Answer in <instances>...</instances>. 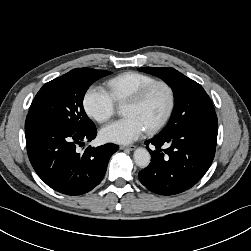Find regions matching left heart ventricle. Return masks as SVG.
<instances>
[{"label":"left heart ventricle","instance_id":"b2bd125f","mask_svg":"<svg viewBox=\"0 0 251 251\" xmlns=\"http://www.w3.org/2000/svg\"><path fill=\"white\" fill-rule=\"evenodd\" d=\"M169 105V95L164 87H156L141 104L127 103L125 116H136L147 129L157 124L165 115Z\"/></svg>","mask_w":251,"mask_h":251}]
</instances>
